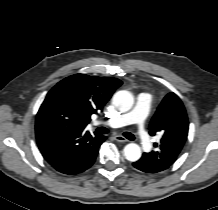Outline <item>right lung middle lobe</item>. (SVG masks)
Returning a JSON list of instances; mask_svg holds the SVG:
<instances>
[{
  "mask_svg": "<svg viewBox=\"0 0 218 210\" xmlns=\"http://www.w3.org/2000/svg\"><path fill=\"white\" fill-rule=\"evenodd\" d=\"M47 123L69 129H82V124L74 107L62 96L50 92L36 116V124Z\"/></svg>",
  "mask_w": 218,
  "mask_h": 210,
  "instance_id": "1",
  "label": "right lung middle lobe"
}]
</instances>
